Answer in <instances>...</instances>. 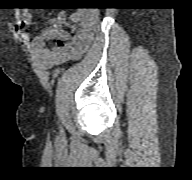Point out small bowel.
I'll return each mask as SVG.
<instances>
[{
  "mask_svg": "<svg viewBox=\"0 0 192 180\" xmlns=\"http://www.w3.org/2000/svg\"><path fill=\"white\" fill-rule=\"evenodd\" d=\"M22 17L25 24H30L32 15L24 10ZM98 13L93 10H77L72 13L71 20L76 23L72 31L63 28L66 22L65 12H59L51 21L48 28L44 29L31 43L34 53L43 60L51 62H65L79 59L90 47L98 23ZM22 38L30 39L27 32L22 33ZM55 40L52 49L46 48L48 41Z\"/></svg>",
  "mask_w": 192,
  "mask_h": 180,
  "instance_id": "c3829d8e",
  "label": "small bowel"
}]
</instances>
